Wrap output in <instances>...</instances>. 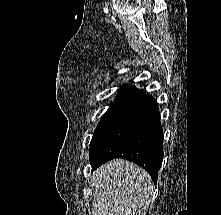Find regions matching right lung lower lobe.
Returning a JSON list of instances; mask_svg holds the SVG:
<instances>
[{
  "label": "right lung lower lobe",
  "mask_w": 221,
  "mask_h": 215,
  "mask_svg": "<svg viewBox=\"0 0 221 215\" xmlns=\"http://www.w3.org/2000/svg\"><path fill=\"white\" fill-rule=\"evenodd\" d=\"M89 157L92 170L114 158L132 161L156 182L163 161V131L155 99L142 95L133 100Z\"/></svg>",
  "instance_id": "98d812e1"
}]
</instances>
